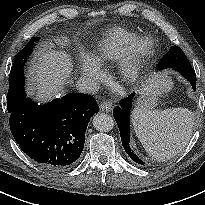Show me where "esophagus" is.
Segmentation results:
<instances>
[{"label": "esophagus", "mask_w": 205, "mask_h": 205, "mask_svg": "<svg viewBox=\"0 0 205 205\" xmlns=\"http://www.w3.org/2000/svg\"><path fill=\"white\" fill-rule=\"evenodd\" d=\"M100 110L104 112H111L113 110V106L110 102H102L99 105Z\"/></svg>", "instance_id": "34e87169"}]
</instances>
